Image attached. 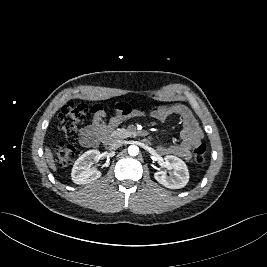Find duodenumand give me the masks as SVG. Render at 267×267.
<instances>
[{
  "instance_id": "410a0bca",
  "label": "duodenum",
  "mask_w": 267,
  "mask_h": 267,
  "mask_svg": "<svg viewBox=\"0 0 267 267\" xmlns=\"http://www.w3.org/2000/svg\"><path fill=\"white\" fill-rule=\"evenodd\" d=\"M116 140H117V137L111 135V136H107V137L105 138L104 142H105V144H107V145H111V144H113ZM143 142L147 144V143H148V139H147V138L143 139Z\"/></svg>"
}]
</instances>
